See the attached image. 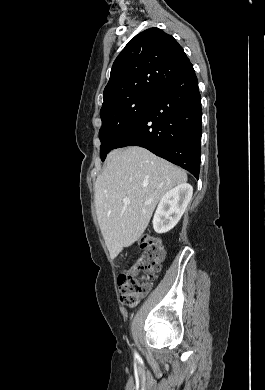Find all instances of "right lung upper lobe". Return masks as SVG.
Wrapping results in <instances>:
<instances>
[{
  "label": "right lung upper lobe",
  "instance_id": "right-lung-upper-lobe-1",
  "mask_svg": "<svg viewBox=\"0 0 265 390\" xmlns=\"http://www.w3.org/2000/svg\"><path fill=\"white\" fill-rule=\"evenodd\" d=\"M191 66L171 35L147 29L132 38L114 61L102 108L136 94L156 95Z\"/></svg>",
  "mask_w": 265,
  "mask_h": 390
}]
</instances>
